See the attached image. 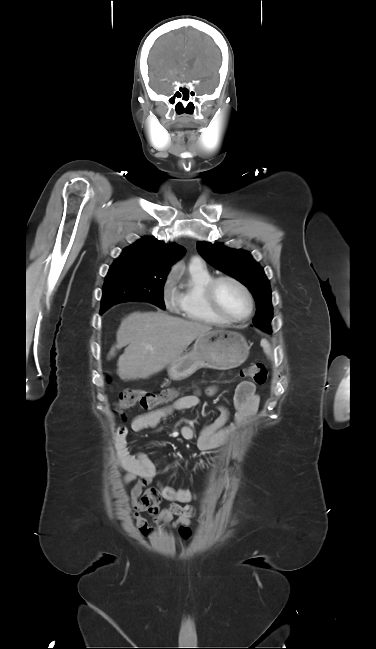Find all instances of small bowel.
Here are the masks:
<instances>
[{
    "instance_id": "obj_1",
    "label": "small bowel",
    "mask_w": 376,
    "mask_h": 649,
    "mask_svg": "<svg viewBox=\"0 0 376 649\" xmlns=\"http://www.w3.org/2000/svg\"><path fill=\"white\" fill-rule=\"evenodd\" d=\"M216 386L207 388L206 393L213 395ZM198 394L188 395L175 400L168 406L137 415L133 418L130 428L134 432H140L148 428L158 426L163 420L176 411L190 410L199 404ZM260 396L256 392L255 385L250 381L239 383L235 396V414L231 420V414L225 406H219V417L207 425L197 439V447L201 451L219 450L214 461L221 462L228 457V450L225 445L234 438L258 410ZM128 428L121 426L116 431L115 449L118 462L124 471L122 481L124 484L135 482L130 491L133 517L136 519L138 531L144 536L154 534V529L149 526L148 521L142 517L146 512L155 523H164L171 528H178L180 535L187 538L190 535L189 525L195 516L194 508L189 503L196 498V495L188 489H178L172 486L157 485L148 487L154 480L156 468L148 456L142 452L130 454L127 449L126 437ZM179 435L191 440L195 437V430L192 425H184ZM167 500L170 505L167 509H161L160 503ZM176 517V519H175Z\"/></svg>"
}]
</instances>
